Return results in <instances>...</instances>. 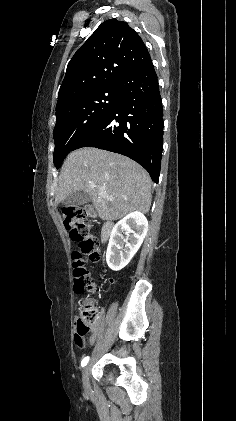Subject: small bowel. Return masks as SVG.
<instances>
[{
    "mask_svg": "<svg viewBox=\"0 0 236 421\" xmlns=\"http://www.w3.org/2000/svg\"><path fill=\"white\" fill-rule=\"evenodd\" d=\"M110 282H113L112 280H110ZM101 327H102V323H98L94 328H93V332H92V334L89 336V338H88V342L89 343H92V342H94L93 341V338H94V336L97 334V332H99L100 331V329H101Z\"/></svg>",
    "mask_w": 236,
    "mask_h": 421,
    "instance_id": "obj_1",
    "label": "small bowel"
}]
</instances>
